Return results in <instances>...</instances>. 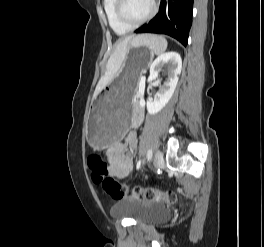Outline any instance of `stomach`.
I'll return each mask as SVG.
<instances>
[{
  "label": "stomach",
  "instance_id": "1",
  "mask_svg": "<svg viewBox=\"0 0 264 247\" xmlns=\"http://www.w3.org/2000/svg\"><path fill=\"white\" fill-rule=\"evenodd\" d=\"M145 35L131 42V53L123 57L122 70L117 78L105 86L103 94L93 101L87 122V140L94 149L113 147V143L121 141L131 123V100L135 92L139 75L149 68L151 49L143 44ZM148 47V48H146Z\"/></svg>",
  "mask_w": 264,
  "mask_h": 247
}]
</instances>
